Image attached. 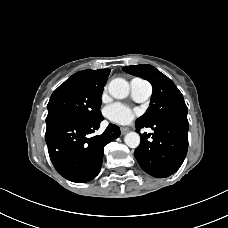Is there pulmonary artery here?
<instances>
[{
    "mask_svg": "<svg viewBox=\"0 0 228 228\" xmlns=\"http://www.w3.org/2000/svg\"><path fill=\"white\" fill-rule=\"evenodd\" d=\"M131 96L137 102H144L150 98L152 94V86L149 82L134 78L130 81Z\"/></svg>",
    "mask_w": 228,
    "mask_h": 228,
    "instance_id": "e3ab8cb5",
    "label": "pulmonary artery"
}]
</instances>
